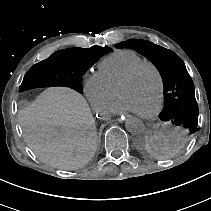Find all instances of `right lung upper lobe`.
I'll use <instances>...</instances> for the list:
<instances>
[{
  "label": "right lung upper lobe",
  "instance_id": "1",
  "mask_svg": "<svg viewBox=\"0 0 211 211\" xmlns=\"http://www.w3.org/2000/svg\"><path fill=\"white\" fill-rule=\"evenodd\" d=\"M105 48H108V47H105ZM108 49L112 50L111 48H108Z\"/></svg>",
  "mask_w": 211,
  "mask_h": 211
}]
</instances>
